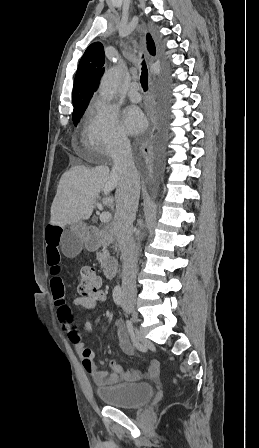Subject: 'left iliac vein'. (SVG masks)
<instances>
[{"label": "left iliac vein", "instance_id": "left-iliac-vein-1", "mask_svg": "<svg viewBox=\"0 0 259 448\" xmlns=\"http://www.w3.org/2000/svg\"><path fill=\"white\" fill-rule=\"evenodd\" d=\"M123 310H124L126 313H129V310H128V308H127V306H126L125 303L123 304Z\"/></svg>", "mask_w": 259, "mask_h": 448}]
</instances>
